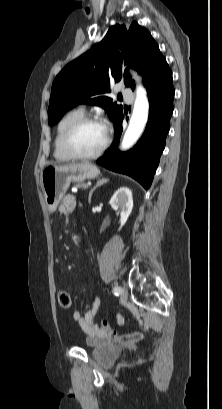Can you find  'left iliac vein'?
<instances>
[{
	"label": "left iliac vein",
	"instance_id": "left-iliac-vein-1",
	"mask_svg": "<svg viewBox=\"0 0 222 409\" xmlns=\"http://www.w3.org/2000/svg\"><path fill=\"white\" fill-rule=\"evenodd\" d=\"M128 298V291L125 287L121 288V300L125 301Z\"/></svg>",
	"mask_w": 222,
	"mask_h": 409
}]
</instances>
